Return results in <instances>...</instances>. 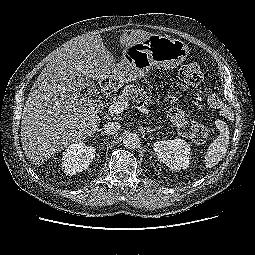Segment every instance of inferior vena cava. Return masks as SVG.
I'll return each mask as SVG.
<instances>
[{
    "mask_svg": "<svg viewBox=\"0 0 255 255\" xmlns=\"http://www.w3.org/2000/svg\"><path fill=\"white\" fill-rule=\"evenodd\" d=\"M121 125L118 122H107L104 125V132L109 135H113L117 133V131L120 129Z\"/></svg>",
    "mask_w": 255,
    "mask_h": 255,
    "instance_id": "1",
    "label": "inferior vena cava"
}]
</instances>
